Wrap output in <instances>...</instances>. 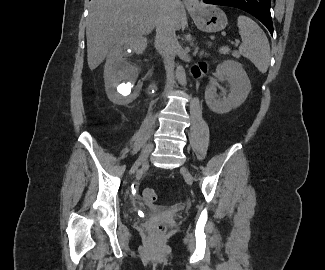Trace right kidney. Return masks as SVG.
I'll list each match as a JSON object with an SVG mask.
<instances>
[{"mask_svg": "<svg viewBox=\"0 0 325 270\" xmlns=\"http://www.w3.org/2000/svg\"><path fill=\"white\" fill-rule=\"evenodd\" d=\"M134 54L141 50L132 43H118L107 57L104 69L105 89L108 98L115 104L127 105L137 98L143 86L141 77L146 65L140 60L130 62Z\"/></svg>", "mask_w": 325, "mask_h": 270, "instance_id": "1", "label": "right kidney"}]
</instances>
